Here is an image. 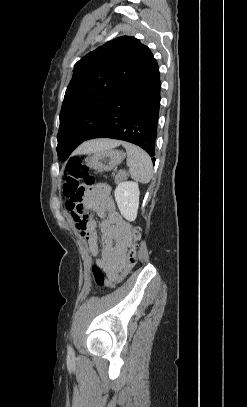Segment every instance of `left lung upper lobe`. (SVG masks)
<instances>
[{
  "mask_svg": "<svg viewBox=\"0 0 247 407\" xmlns=\"http://www.w3.org/2000/svg\"><path fill=\"white\" fill-rule=\"evenodd\" d=\"M140 40L122 36L81 58L60 111L57 153L66 161L103 117L110 103L150 62Z\"/></svg>",
  "mask_w": 247,
  "mask_h": 407,
  "instance_id": "left-lung-upper-lobe-1",
  "label": "left lung upper lobe"
}]
</instances>
